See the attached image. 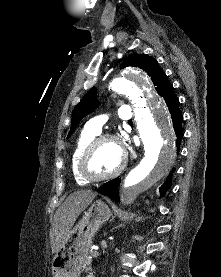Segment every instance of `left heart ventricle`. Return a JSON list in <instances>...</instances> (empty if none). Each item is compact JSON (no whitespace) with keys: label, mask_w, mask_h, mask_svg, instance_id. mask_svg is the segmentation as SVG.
<instances>
[{"label":"left heart ventricle","mask_w":221,"mask_h":277,"mask_svg":"<svg viewBox=\"0 0 221 277\" xmlns=\"http://www.w3.org/2000/svg\"><path fill=\"white\" fill-rule=\"evenodd\" d=\"M122 153L120 147L111 141L103 142L92 154L88 167L95 175H104L115 170L120 164Z\"/></svg>","instance_id":"1"}]
</instances>
